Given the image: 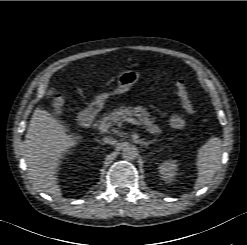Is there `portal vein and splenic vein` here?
Instances as JSON below:
<instances>
[{"label":"portal vein and splenic vein","mask_w":247,"mask_h":245,"mask_svg":"<svg viewBox=\"0 0 247 245\" xmlns=\"http://www.w3.org/2000/svg\"><path fill=\"white\" fill-rule=\"evenodd\" d=\"M126 122H129V123H132V124H135V125H138V126H142V123L134 118H126L125 119ZM110 127V124L108 123H101L99 126H98V130L101 131V132H105L109 129Z\"/></svg>","instance_id":"18ae733b"}]
</instances>
